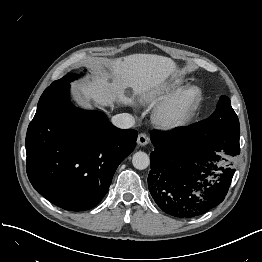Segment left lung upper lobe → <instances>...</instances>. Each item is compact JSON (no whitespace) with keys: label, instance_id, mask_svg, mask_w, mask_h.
Returning a JSON list of instances; mask_svg holds the SVG:
<instances>
[{"label":"left lung upper lobe","instance_id":"5c2ea615","mask_svg":"<svg viewBox=\"0 0 262 262\" xmlns=\"http://www.w3.org/2000/svg\"><path fill=\"white\" fill-rule=\"evenodd\" d=\"M192 127L212 134L230 130L240 131L238 117L231 107L230 99L225 95L220 97L216 110L208 119L192 125Z\"/></svg>","mask_w":262,"mask_h":262}]
</instances>
